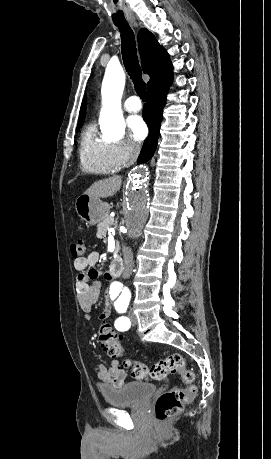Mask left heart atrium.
Wrapping results in <instances>:
<instances>
[{"mask_svg": "<svg viewBox=\"0 0 271 459\" xmlns=\"http://www.w3.org/2000/svg\"><path fill=\"white\" fill-rule=\"evenodd\" d=\"M128 130L131 138L137 143L141 142L147 134V127L139 116H134L129 120Z\"/></svg>", "mask_w": 271, "mask_h": 459, "instance_id": "39dd6f15", "label": "left heart atrium"}]
</instances>
